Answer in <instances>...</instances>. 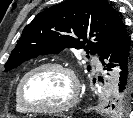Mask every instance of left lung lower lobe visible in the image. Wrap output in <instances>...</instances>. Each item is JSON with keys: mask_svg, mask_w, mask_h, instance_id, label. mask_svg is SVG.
Returning a JSON list of instances; mask_svg holds the SVG:
<instances>
[{"mask_svg": "<svg viewBox=\"0 0 133 118\" xmlns=\"http://www.w3.org/2000/svg\"><path fill=\"white\" fill-rule=\"evenodd\" d=\"M104 59L107 61L104 62ZM100 61L104 65V69L111 70L114 64L120 65L119 83L115 89V93L121 94L124 91H131L133 96V52L130 47V41L124 24H122L111 38L109 43L100 54Z\"/></svg>", "mask_w": 133, "mask_h": 118, "instance_id": "1", "label": "left lung lower lobe"}]
</instances>
